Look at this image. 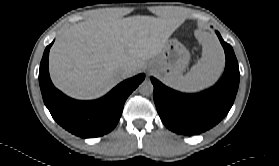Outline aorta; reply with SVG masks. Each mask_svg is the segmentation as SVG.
Listing matches in <instances>:
<instances>
[{
    "label": "aorta",
    "instance_id": "aorta-1",
    "mask_svg": "<svg viewBox=\"0 0 279 166\" xmlns=\"http://www.w3.org/2000/svg\"><path fill=\"white\" fill-rule=\"evenodd\" d=\"M140 94L151 95L153 93V84L149 80H144L138 87Z\"/></svg>",
    "mask_w": 279,
    "mask_h": 166
}]
</instances>
